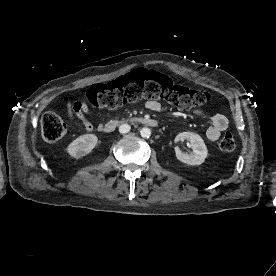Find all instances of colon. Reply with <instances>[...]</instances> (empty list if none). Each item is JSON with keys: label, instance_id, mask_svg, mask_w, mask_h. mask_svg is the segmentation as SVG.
Listing matches in <instances>:
<instances>
[{"label": "colon", "instance_id": "5ec220e1", "mask_svg": "<svg viewBox=\"0 0 276 276\" xmlns=\"http://www.w3.org/2000/svg\"><path fill=\"white\" fill-rule=\"evenodd\" d=\"M88 102L95 107L113 108L139 99H162L180 109L200 106L210 101V94L174 83L167 75L154 70L139 68L107 84H96L86 91ZM65 122L54 113L41 118V132L45 141L56 142L66 134ZM235 137L226 132L220 140V149L231 152Z\"/></svg>", "mask_w": 276, "mask_h": 276}]
</instances>
